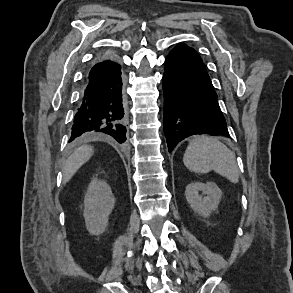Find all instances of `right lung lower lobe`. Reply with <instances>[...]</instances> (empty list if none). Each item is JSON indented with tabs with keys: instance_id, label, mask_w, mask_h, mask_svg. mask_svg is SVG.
Instances as JSON below:
<instances>
[{
	"instance_id": "obj_1",
	"label": "right lung lower lobe",
	"mask_w": 293,
	"mask_h": 293,
	"mask_svg": "<svg viewBox=\"0 0 293 293\" xmlns=\"http://www.w3.org/2000/svg\"><path fill=\"white\" fill-rule=\"evenodd\" d=\"M122 85L121 66L114 59L101 57L90 67L69 142L78 137L126 141Z\"/></svg>"
}]
</instances>
